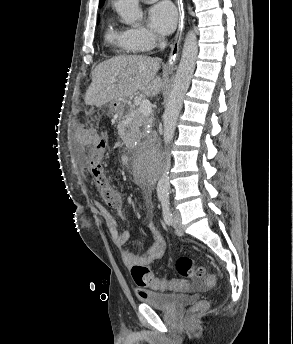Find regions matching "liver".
I'll return each mask as SVG.
<instances>
[{
	"mask_svg": "<svg viewBox=\"0 0 293 344\" xmlns=\"http://www.w3.org/2000/svg\"><path fill=\"white\" fill-rule=\"evenodd\" d=\"M160 62L146 55H121L100 63L92 73L85 103L102 106L115 100L132 99L142 91L155 96L163 89L157 75Z\"/></svg>",
	"mask_w": 293,
	"mask_h": 344,
	"instance_id": "liver-1",
	"label": "liver"
}]
</instances>
